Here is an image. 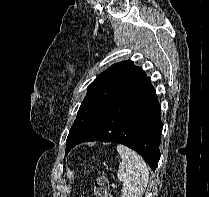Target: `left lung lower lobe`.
I'll list each match as a JSON object with an SVG mask.
<instances>
[{
  "mask_svg": "<svg viewBox=\"0 0 209 197\" xmlns=\"http://www.w3.org/2000/svg\"><path fill=\"white\" fill-rule=\"evenodd\" d=\"M159 109L155 88L145 77L111 103L75 145L121 143L141 154L155 171L162 129Z\"/></svg>",
  "mask_w": 209,
  "mask_h": 197,
  "instance_id": "obj_1",
  "label": "left lung lower lobe"
}]
</instances>
